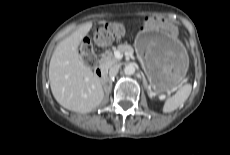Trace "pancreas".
Masks as SVG:
<instances>
[{"instance_id": "pancreas-1", "label": "pancreas", "mask_w": 230, "mask_h": 155, "mask_svg": "<svg viewBox=\"0 0 230 155\" xmlns=\"http://www.w3.org/2000/svg\"><path fill=\"white\" fill-rule=\"evenodd\" d=\"M118 50L120 52L132 54L133 49L129 45H119ZM100 66L106 71L110 69L113 65L119 63V60L113 55L112 52H107V54L103 55L99 60Z\"/></svg>"}]
</instances>
